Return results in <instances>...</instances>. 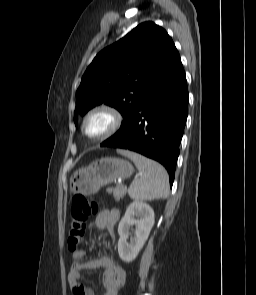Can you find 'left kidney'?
Wrapping results in <instances>:
<instances>
[{
    "mask_svg": "<svg viewBox=\"0 0 256 295\" xmlns=\"http://www.w3.org/2000/svg\"><path fill=\"white\" fill-rule=\"evenodd\" d=\"M136 217V218H135ZM154 211L143 201H133L118 226V254L124 262H132L144 246L154 224ZM135 225L134 236L127 241L130 228Z\"/></svg>",
    "mask_w": 256,
    "mask_h": 295,
    "instance_id": "5707ae66",
    "label": "left kidney"
}]
</instances>
